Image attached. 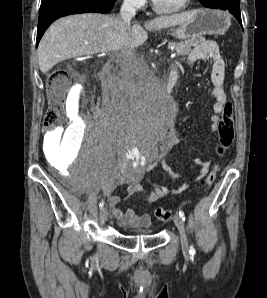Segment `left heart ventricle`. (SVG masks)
<instances>
[{"label":"left heart ventricle","instance_id":"b2bd125f","mask_svg":"<svg viewBox=\"0 0 267 298\" xmlns=\"http://www.w3.org/2000/svg\"><path fill=\"white\" fill-rule=\"evenodd\" d=\"M155 3L164 10H173L178 8L184 0H154Z\"/></svg>","mask_w":267,"mask_h":298}]
</instances>
